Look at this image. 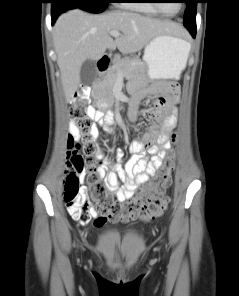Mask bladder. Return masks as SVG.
I'll return each instance as SVG.
<instances>
[{
  "instance_id": "31cf9c89",
  "label": "bladder",
  "mask_w": 239,
  "mask_h": 296,
  "mask_svg": "<svg viewBox=\"0 0 239 296\" xmlns=\"http://www.w3.org/2000/svg\"><path fill=\"white\" fill-rule=\"evenodd\" d=\"M124 237L121 232H108L100 238V245L106 249H110L117 245V243Z\"/></svg>"
}]
</instances>
